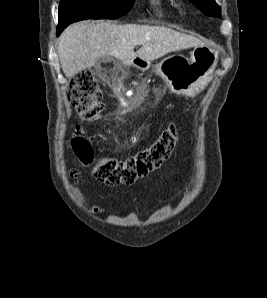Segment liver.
<instances>
[{"instance_id":"obj_1","label":"liver","mask_w":267,"mask_h":298,"mask_svg":"<svg viewBox=\"0 0 267 298\" xmlns=\"http://www.w3.org/2000/svg\"><path fill=\"white\" fill-rule=\"evenodd\" d=\"M137 45L142 47L134 52ZM203 45L194 36L163 26L80 21L61 34L58 55L63 73L70 78L94 66L100 58L113 56L129 62L139 57L152 61L170 52Z\"/></svg>"}]
</instances>
